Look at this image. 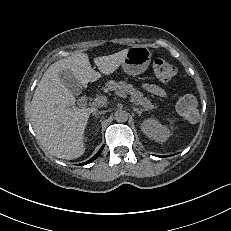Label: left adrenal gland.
I'll use <instances>...</instances> for the list:
<instances>
[{
	"mask_svg": "<svg viewBox=\"0 0 231 231\" xmlns=\"http://www.w3.org/2000/svg\"><path fill=\"white\" fill-rule=\"evenodd\" d=\"M133 110L139 115L141 116L142 112L146 111L145 109H138L136 107H133Z\"/></svg>",
	"mask_w": 231,
	"mask_h": 231,
	"instance_id": "left-adrenal-gland-1",
	"label": "left adrenal gland"
}]
</instances>
